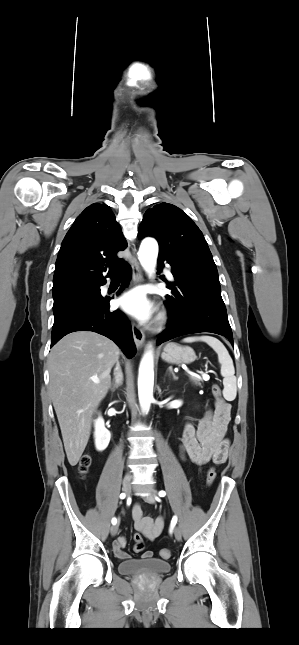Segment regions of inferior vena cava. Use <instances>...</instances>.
<instances>
[{"label":"inferior vena cava","mask_w":299,"mask_h":645,"mask_svg":"<svg viewBox=\"0 0 299 645\" xmlns=\"http://www.w3.org/2000/svg\"><path fill=\"white\" fill-rule=\"evenodd\" d=\"M117 365H118V364H117ZM116 368H117V367H116ZM115 371H116V369H115ZM115 375H116V380H117V381H119V374H118L117 372H115Z\"/></svg>","instance_id":"obj_1"}]
</instances>
